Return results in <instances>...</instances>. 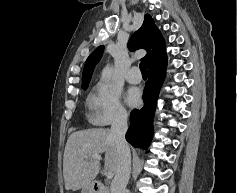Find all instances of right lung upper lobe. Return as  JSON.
<instances>
[{
	"instance_id": "obj_1",
	"label": "right lung upper lobe",
	"mask_w": 237,
	"mask_h": 193,
	"mask_svg": "<svg viewBox=\"0 0 237 193\" xmlns=\"http://www.w3.org/2000/svg\"><path fill=\"white\" fill-rule=\"evenodd\" d=\"M128 47L132 51L141 48L147 51L143 58L147 67L166 56L165 41L149 14L144 16L141 28L132 35ZM103 49V46H99L87 58L82 74V88L88 86L93 69L102 57Z\"/></svg>"
}]
</instances>
